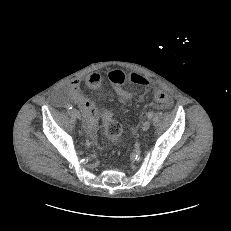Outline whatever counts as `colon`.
<instances>
[{
  "label": "colon",
  "mask_w": 231,
  "mask_h": 231,
  "mask_svg": "<svg viewBox=\"0 0 231 231\" xmlns=\"http://www.w3.org/2000/svg\"><path fill=\"white\" fill-rule=\"evenodd\" d=\"M108 78L113 86H121L127 78H129L130 81L135 84H146V80L143 76L137 73H131L129 76H127V74L120 69L112 70L108 74ZM155 100L161 104H165L168 102V96L164 92H156ZM103 128L106 136L110 139L113 145L120 146L122 143V127L120 123L114 118L113 113L109 110H104L103 112Z\"/></svg>",
  "instance_id": "colon-1"
}]
</instances>
